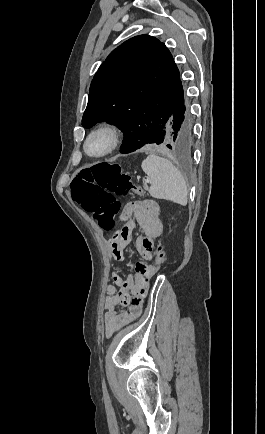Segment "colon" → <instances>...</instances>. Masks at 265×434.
Segmentation results:
<instances>
[{"mask_svg":"<svg viewBox=\"0 0 265 434\" xmlns=\"http://www.w3.org/2000/svg\"><path fill=\"white\" fill-rule=\"evenodd\" d=\"M81 170L74 173L69 202H79L85 211L92 213L103 231L113 230L115 216L121 209L115 195L128 196L133 192L141 193L142 189L116 164H85ZM166 257L163 245L159 244L153 261H159L162 266ZM151 262L148 269H151ZM150 279L148 276L139 278L144 286Z\"/></svg>","mask_w":265,"mask_h":434,"instance_id":"colon-1","label":"colon"}]
</instances>
